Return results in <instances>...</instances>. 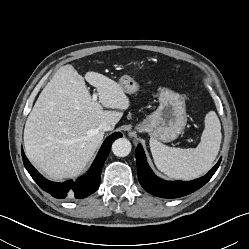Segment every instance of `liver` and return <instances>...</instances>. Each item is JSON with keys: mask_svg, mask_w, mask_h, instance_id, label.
Returning <instances> with one entry per match:
<instances>
[{"mask_svg": "<svg viewBox=\"0 0 249 249\" xmlns=\"http://www.w3.org/2000/svg\"><path fill=\"white\" fill-rule=\"evenodd\" d=\"M85 80L97 89L93 101ZM130 105L122 86L98 72L82 77L72 65L62 66L40 93L24 129L27 157L48 178L62 180L79 174L94 156L104 131L113 128ZM107 110H103V107Z\"/></svg>", "mask_w": 249, "mask_h": 249, "instance_id": "1", "label": "liver"}]
</instances>
